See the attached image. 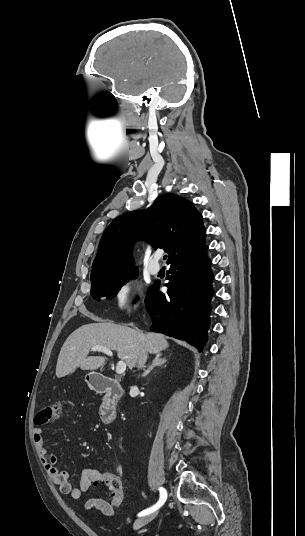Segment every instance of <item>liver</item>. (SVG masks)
<instances>
[{
    "instance_id": "obj_1",
    "label": "liver",
    "mask_w": 305,
    "mask_h": 536,
    "mask_svg": "<svg viewBox=\"0 0 305 536\" xmlns=\"http://www.w3.org/2000/svg\"><path fill=\"white\" fill-rule=\"evenodd\" d=\"M96 322H104L94 318ZM93 346H104L118 352V358L124 360L128 368H135L142 352L159 354L169 344L162 334H142L138 330L118 326V324H86L70 334L64 342L57 360L56 376L64 378L76 368L80 370H98L104 366L106 358L88 356Z\"/></svg>"
}]
</instances>
